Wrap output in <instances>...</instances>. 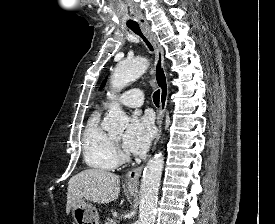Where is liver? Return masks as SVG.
I'll use <instances>...</instances> for the list:
<instances>
[{"instance_id":"obj_1","label":"liver","mask_w":275,"mask_h":224,"mask_svg":"<svg viewBox=\"0 0 275 224\" xmlns=\"http://www.w3.org/2000/svg\"><path fill=\"white\" fill-rule=\"evenodd\" d=\"M120 178L103 169H86L68 182L66 213L82 201L107 204L118 198Z\"/></svg>"}]
</instances>
